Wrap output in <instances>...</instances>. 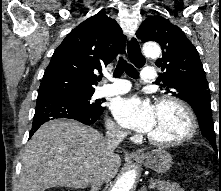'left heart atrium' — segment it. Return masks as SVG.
Masks as SVG:
<instances>
[{
    "label": "left heart atrium",
    "instance_id": "39dd6f15",
    "mask_svg": "<svg viewBox=\"0 0 221 191\" xmlns=\"http://www.w3.org/2000/svg\"><path fill=\"white\" fill-rule=\"evenodd\" d=\"M156 108L138 95H129L117 99L113 104L112 112L123 126L148 134L155 123Z\"/></svg>",
    "mask_w": 221,
    "mask_h": 191
}]
</instances>
